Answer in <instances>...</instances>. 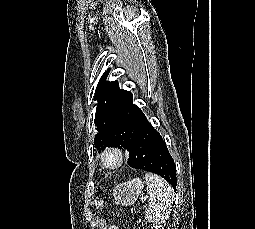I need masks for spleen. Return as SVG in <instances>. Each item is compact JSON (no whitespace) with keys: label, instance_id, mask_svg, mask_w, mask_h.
<instances>
[{"label":"spleen","instance_id":"obj_1","mask_svg":"<svg viewBox=\"0 0 255 229\" xmlns=\"http://www.w3.org/2000/svg\"><path fill=\"white\" fill-rule=\"evenodd\" d=\"M145 181L149 197L145 218L151 222L163 223L169 217L173 190L169 183L157 174L146 173Z\"/></svg>","mask_w":255,"mask_h":229}]
</instances>
